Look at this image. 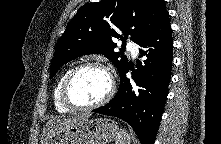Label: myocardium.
<instances>
[{
    "label": "myocardium",
    "instance_id": "myocardium-1",
    "mask_svg": "<svg viewBox=\"0 0 221 144\" xmlns=\"http://www.w3.org/2000/svg\"><path fill=\"white\" fill-rule=\"evenodd\" d=\"M86 68H98L104 71L109 78V89L105 94V96L101 98L99 101L88 105H79L72 101V99L70 98L69 90H70V85L73 79L76 77V75ZM114 92H115V81L109 69L100 62L88 61L77 65L76 67L71 69V71L67 74L61 85L60 99L62 104L70 111H86L98 108L109 102L113 97Z\"/></svg>",
    "mask_w": 221,
    "mask_h": 144
}]
</instances>
